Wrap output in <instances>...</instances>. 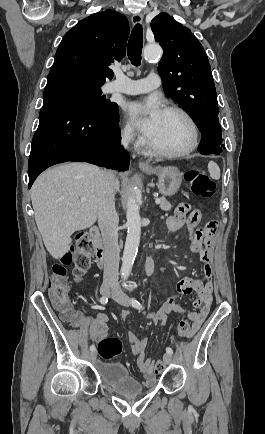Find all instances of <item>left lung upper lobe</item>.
<instances>
[{"label": "left lung upper lobe", "mask_w": 265, "mask_h": 434, "mask_svg": "<svg viewBox=\"0 0 265 434\" xmlns=\"http://www.w3.org/2000/svg\"><path fill=\"white\" fill-rule=\"evenodd\" d=\"M151 28L163 48L158 73L165 94L191 116L203 139L224 147L216 89L204 48L168 13L157 15Z\"/></svg>", "instance_id": "5c2ea615"}]
</instances>
